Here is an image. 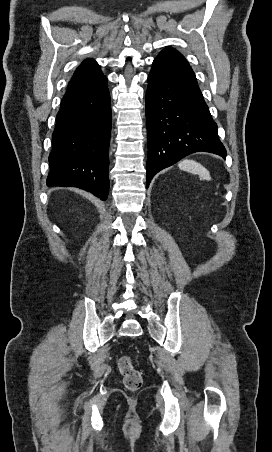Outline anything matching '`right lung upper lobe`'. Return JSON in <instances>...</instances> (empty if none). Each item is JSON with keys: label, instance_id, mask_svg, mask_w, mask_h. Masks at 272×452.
Instances as JSON below:
<instances>
[{"label": "right lung upper lobe", "instance_id": "obj_1", "mask_svg": "<svg viewBox=\"0 0 272 452\" xmlns=\"http://www.w3.org/2000/svg\"><path fill=\"white\" fill-rule=\"evenodd\" d=\"M103 75L99 65L93 59L84 60L74 72L68 88L87 85L100 79Z\"/></svg>", "mask_w": 272, "mask_h": 452}]
</instances>
